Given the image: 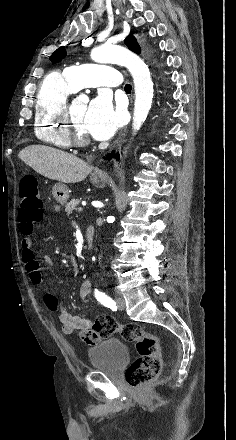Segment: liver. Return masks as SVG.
Instances as JSON below:
<instances>
[{"mask_svg": "<svg viewBox=\"0 0 236 440\" xmlns=\"http://www.w3.org/2000/svg\"><path fill=\"white\" fill-rule=\"evenodd\" d=\"M18 156L40 175L62 183L81 182L92 171L78 157L44 145L28 146Z\"/></svg>", "mask_w": 236, "mask_h": 440, "instance_id": "6515ba94", "label": "liver"}]
</instances>
